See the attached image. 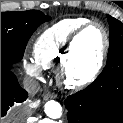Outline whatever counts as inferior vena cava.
I'll return each mask as SVG.
<instances>
[{"instance_id": "1", "label": "inferior vena cava", "mask_w": 123, "mask_h": 123, "mask_svg": "<svg viewBox=\"0 0 123 123\" xmlns=\"http://www.w3.org/2000/svg\"><path fill=\"white\" fill-rule=\"evenodd\" d=\"M23 87L31 95H35L40 90L39 82L36 79L30 77H26L23 80Z\"/></svg>"}]
</instances>
